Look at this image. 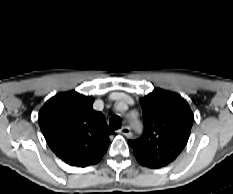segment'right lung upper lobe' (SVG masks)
I'll return each mask as SVG.
<instances>
[{"instance_id": "obj_1", "label": "right lung upper lobe", "mask_w": 233, "mask_h": 194, "mask_svg": "<svg viewBox=\"0 0 233 194\" xmlns=\"http://www.w3.org/2000/svg\"><path fill=\"white\" fill-rule=\"evenodd\" d=\"M94 99L75 91L50 98L39 112V126L52 149L71 166L96 164L105 154L113 134Z\"/></svg>"}]
</instances>
